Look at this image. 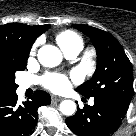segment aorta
Returning a JSON list of instances; mask_svg holds the SVG:
<instances>
[{
    "label": "aorta",
    "instance_id": "aorta-1",
    "mask_svg": "<svg viewBox=\"0 0 136 136\" xmlns=\"http://www.w3.org/2000/svg\"><path fill=\"white\" fill-rule=\"evenodd\" d=\"M39 62L45 67L58 66L62 61L60 50L53 45H44L38 50ZM60 111L66 116H71L76 111V104L72 100H64L60 103Z\"/></svg>",
    "mask_w": 136,
    "mask_h": 136
}]
</instances>
